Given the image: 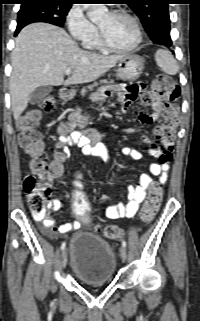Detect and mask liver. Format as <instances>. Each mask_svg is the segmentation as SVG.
<instances>
[{
    "mask_svg": "<svg viewBox=\"0 0 200 321\" xmlns=\"http://www.w3.org/2000/svg\"><path fill=\"white\" fill-rule=\"evenodd\" d=\"M124 55L104 56L82 50L60 27L33 23L24 27L12 51L9 87L15 120L26 109L38 87L95 81L113 68ZM72 75L64 81V72Z\"/></svg>",
    "mask_w": 200,
    "mask_h": 321,
    "instance_id": "6515ba94",
    "label": "liver"
}]
</instances>
